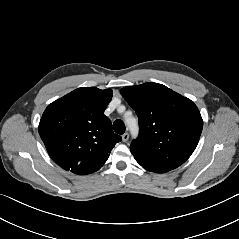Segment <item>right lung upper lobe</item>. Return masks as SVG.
Instances as JSON below:
<instances>
[{
  "label": "right lung upper lobe",
  "instance_id": "right-lung-upper-lobe-1",
  "mask_svg": "<svg viewBox=\"0 0 239 239\" xmlns=\"http://www.w3.org/2000/svg\"><path fill=\"white\" fill-rule=\"evenodd\" d=\"M111 89L81 87L49 104L38 131L50 157L64 170L86 175L99 170L121 137L104 111Z\"/></svg>",
  "mask_w": 239,
  "mask_h": 239
}]
</instances>
